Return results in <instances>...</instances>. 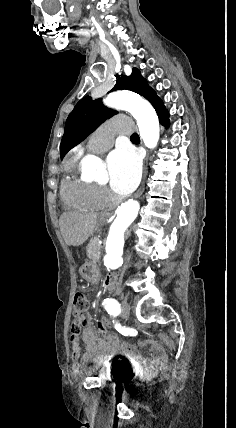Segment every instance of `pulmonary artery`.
Returning <instances> with one entry per match:
<instances>
[{
    "mask_svg": "<svg viewBox=\"0 0 236 428\" xmlns=\"http://www.w3.org/2000/svg\"><path fill=\"white\" fill-rule=\"evenodd\" d=\"M112 142L111 144H107V143H96V142H90L87 146H86V151L88 153H100L103 152L105 150H107L109 147L112 146Z\"/></svg>",
    "mask_w": 236,
    "mask_h": 428,
    "instance_id": "pulmonary-artery-1",
    "label": "pulmonary artery"
}]
</instances>
